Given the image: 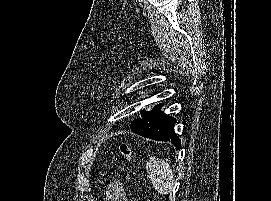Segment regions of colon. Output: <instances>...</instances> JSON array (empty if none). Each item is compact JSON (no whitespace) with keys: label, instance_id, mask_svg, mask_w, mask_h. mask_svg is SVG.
<instances>
[{"label":"colon","instance_id":"1","mask_svg":"<svg viewBox=\"0 0 271 201\" xmlns=\"http://www.w3.org/2000/svg\"><path fill=\"white\" fill-rule=\"evenodd\" d=\"M120 151H121V154L123 155L125 161L127 163H131L132 162V152H131L130 146L126 143H122L120 146Z\"/></svg>","mask_w":271,"mask_h":201}]
</instances>
